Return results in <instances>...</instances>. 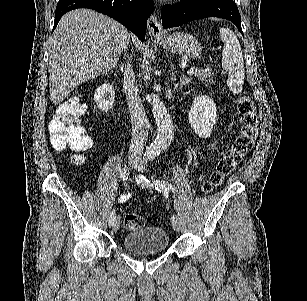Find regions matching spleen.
<instances>
[{
	"label": "spleen",
	"mask_w": 307,
	"mask_h": 301,
	"mask_svg": "<svg viewBox=\"0 0 307 301\" xmlns=\"http://www.w3.org/2000/svg\"><path fill=\"white\" fill-rule=\"evenodd\" d=\"M222 50V68L227 70V86L234 92L240 94L244 84V60L240 42L233 30L230 28H219Z\"/></svg>",
	"instance_id": "spleen-1"
}]
</instances>
